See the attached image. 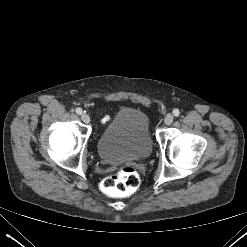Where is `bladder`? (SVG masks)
<instances>
[{
  "label": "bladder",
  "instance_id": "31cf9c89",
  "mask_svg": "<svg viewBox=\"0 0 247 247\" xmlns=\"http://www.w3.org/2000/svg\"><path fill=\"white\" fill-rule=\"evenodd\" d=\"M97 151L108 164L149 157L152 139L147 115L135 108L119 110L101 133Z\"/></svg>",
  "mask_w": 247,
  "mask_h": 247
}]
</instances>
